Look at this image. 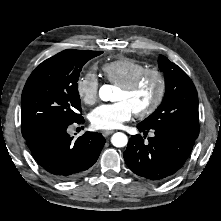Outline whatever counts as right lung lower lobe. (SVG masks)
I'll list each match as a JSON object with an SVG mask.
<instances>
[{
	"mask_svg": "<svg viewBox=\"0 0 221 221\" xmlns=\"http://www.w3.org/2000/svg\"><path fill=\"white\" fill-rule=\"evenodd\" d=\"M75 123L83 124L84 118ZM71 124L54 125L25 138L40 168L60 181H70L85 174L97 161L106 142L97 132H86L74 140L67 133Z\"/></svg>",
	"mask_w": 221,
	"mask_h": 221,
	"instance_id": "1",
	"label": "right lung lower lobe"
}]
</instances>
